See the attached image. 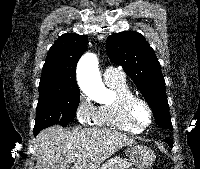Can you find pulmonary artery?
Masks as SVG:
<instances>
[{
	"label": "pulmonary artery",
	"instance_id": "obj_1",
	"mask_svg": "<svg viewBox=\"0 0 200 169\" xmlns=\"http://www.w3.org/2000/svg\"><path fill=\"white\" fill-rule=\"evenodd\" d=\"M103 78L105 82H109L113 80L123 79L125 78V76L122 72L118 71L117 69L108 67L103 72Z\"/></svg>",
	"mask_w": 200,
	"mask_h": 169
}]
</instances>
